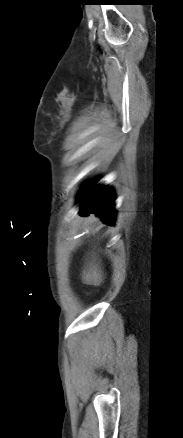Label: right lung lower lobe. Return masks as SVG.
<instances>
[{
    "instance_id": "right-lung-lower-lobe-1",
    "label": "right lung lower lobe",
    "mask_w": 183,
    "mask_h": 438,
    "mask_svg": "<svg viewBox=\"0 0 183 438\" xmlns=\"http://www.w3.org/2000/svg\"><path fill=\"white\" fill-rule=\"evenodd\" d=\"M93 185V183L89 184L82 193L85 198L81 207V215L86 216L94 213L100 216L106 224L113 225L115 217L114 193L112 189L106 187L92 189Z\"/></svg>"
}]
</instances>
